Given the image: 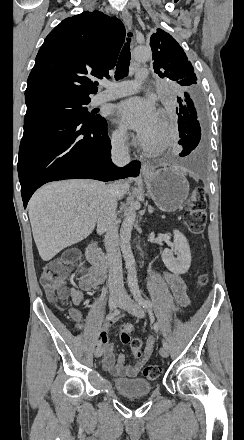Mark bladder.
<instances>
[{"label":"bladder","mask_w":244,"mask_h":440,"mask_svg":"<svg viewBox=\"0 0 244 440\" xmlns=\"http://www.w3.org/2000/svg\"><path fill=\"white\" fill-rule=\"evenodd\" d=\"M112 382L115 391L127 396L149 394L152 390V384L144 377L113 378Z\"/></svg>","instance_id":"obj_1"}]
</instances>
